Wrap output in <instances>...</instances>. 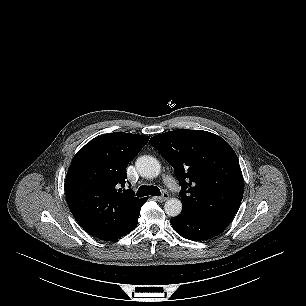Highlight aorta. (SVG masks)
Returning a JSON list of instances; mask_svg holds the SVG:
<instances>
[{
  "label": "aorta",
  "instance_id": "aorta-1",
  "mask_svg": "<svg viewBox=\"0 0 306 306\" xmlns=\"http://www.w3.org/2000/svg\"><path fill=\"white\" fill-rule=\"evenodd\" d=\"M136 168L144 178H155L161 172V164L159 161L148 155L141 156L137 159ZM164 209L168 216L175 217L181 213L182 203L179 199L170 198L165 202Z\"/></svg>",
  "mask_w": 306,
  "mask_h": 306
}]
</instances>
